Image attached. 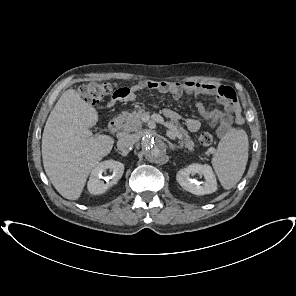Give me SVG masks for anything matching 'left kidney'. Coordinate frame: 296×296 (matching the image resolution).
<instances>
[{
  "instance_id": "left-kidney-1",
  "label": "left kidney",
  "mask_w": 296,
  "mask_h": 296,
  "mask_svg": "<svg viewBox=\"0 0 296 296\" xmlns=\"http://www.w3.org/2000/svg\"><path fill=\"white\" fill-rule=\"evenodd\" d=\"M195 174L204 176L205 181L202 185L190 178V175ZM176 180L182 188L195 195L210 194L217 190L216 178L209 165H201L198 163L190 164L186 168L178 171Z\"/></svg>"
}]
</instances>
